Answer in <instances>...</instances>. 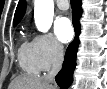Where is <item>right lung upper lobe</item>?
<instances>
[{"instance_id": "obj_1", "label": "right lung upper lobe", "mask_w": 107, "mask_h": 89, "mask_svg": "<svg viewBox=\"0 0 107 89\" xmlns=\"http://www.w3.org/2000/svg\"><path fill=\"white\" fill-rule=\"evenodd\" d=\"M25 10H26V1L19 0L15 15H14V21H13L14 26H16L21 21L22 17L25 14Z\"/></svg>"}]
</instances>
